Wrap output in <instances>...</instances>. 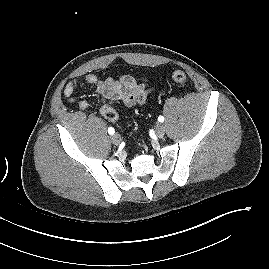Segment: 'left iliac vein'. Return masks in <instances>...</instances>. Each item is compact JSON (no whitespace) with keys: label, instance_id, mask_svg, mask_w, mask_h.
I'll list each match as a JSON object with an SVG mask.
<instances>
[{"label":"left iliac vein","instance_id":"1","mask_svg":"<svg viewBox=\"0 0 269 269\" xmlns=\"http://www.w3.org/2000/svg\"><path fill=\"white\" fill-rule=\"evenodd\" d=\"M155 133L159 138H163L165 134V126L163 124H157L155 127Z\"/></svg>","mask_w":269,"mask_h":269}]
</instances>
